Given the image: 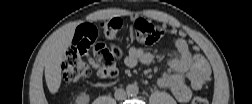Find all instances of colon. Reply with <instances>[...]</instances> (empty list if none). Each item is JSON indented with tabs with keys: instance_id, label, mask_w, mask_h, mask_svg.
<instances>
[{
	"instance_id": "colon-1",
	"label": "colon",
	"mask_w": 252,
	"mask_h": 104,
	"mask_svg": "<svg viewBox=\"0 0 252 104\" xmlns=\"http://www.w3.org/2000/svg\"><path fill=\"white\" fill-rule=\"evenodd\" d=\"M137 42L152 45L169 34V30L161 25H156L144 18L135 19L131 25ZM123 22L119 18H112L97 25L85 23L80 25L74 34L73 45L66 51L62 61V73L67 82L75 83L90 74V68L85 61L84 54L97 38L115 41L119 38ZM95 54L110 77L117 73L116 60L121 56L120 48L111 43H98L94 48ZM193 104H205L206 100L197 96Z\"/></svg>"
}]
</instances>
